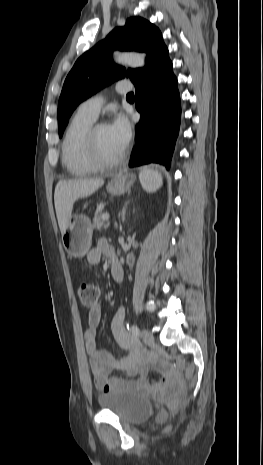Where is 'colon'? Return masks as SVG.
Wrapping results in <instances>:
<instances>
[{
	"label": "colon",
	"mask_w": 263,
	"mask_h": 465,
	"mask_svg": "<svg viewBox=\"0 0 263 465\" xmlns=\"http://www.w3.org/2000/svg\"><path fill=\"white\" fill-rule=\"evenodd\" d=\"M78 295L82 305L91 308L98 302L100 289L97 284L90 281H84L79 285ZM180 391L181 384L177 380H174L170 384L166 385L157 396L167 399L169 401L170 409L175 410L179 404Z\"/></svg>",
	"instance_id": "colon-1"
}]
</instances>
